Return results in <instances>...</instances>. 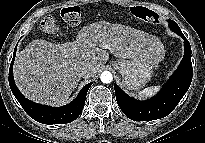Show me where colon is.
Wrapping results in <instances>:
<instances>
[{"instance_id": "1", "label": "colon", "mask_w": 205, "mask_h": 143, "mask_svg": "<svg viewBox=\"0 0 205 143\" xmlns=\"http://www.w3.org/2000/svg\"><path fill=\"white\" fill-rule=\"evenodd\" d=\"M131 13L146 22L158 23L160 21L159 15L143 6H135L131 8ZM60 16L65 23L71 26H76L81 21V10L78 6H67L61 9ZM41 30L47 34H60V30L56 21V18L52 15H48L43 18L40 24Z\"/></svg>"}]
</instances>
